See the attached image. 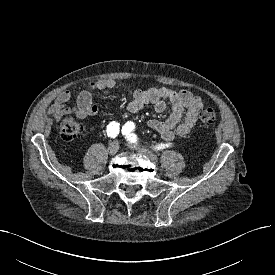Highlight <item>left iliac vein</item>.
<instances>
[{
    "label": "left iliac vein",
    "instance_id": "obj_1",
    "mask_svg": "<svg viewBox=\"0 0 275 275\" xmlns=\"http://www.w3.org/2000/svg\"><path fill=\"white\" fill-rule=\"evenodd\" d=\"M128 146L130 148L136 150L140 154L145 155L148 159H150L154 163L158 161V158H157V156L154 153H152V152H150V151H148V150H146L144 148H140V147H138L136 145H133V144H128Z\"/></svg>",
    "mask_w": 275,
    "mask_h": 275
}]
</instances>
